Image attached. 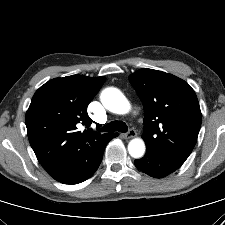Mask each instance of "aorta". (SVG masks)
I'll list each match as a JSON object with an SVG mask.
<instances>
[{"label": "aorta", "instance_id": "aorta-1", "mask_svg": "<svg viewBox=\"0 0 225 225\" xmlns=\"http://www.w3.org/2000/svg\"><path fill=\"white\" fill-rule=\"evenodd\" d=\"M104 107L115 114H126L131 105L123 93L115 88L108 87L100 95ZM128 152L133 158H141L145 153V143L141 138L132 139L128 144Z\"/></svg>", "mask_w": 225, "mask_h": 225}]
</instances>
